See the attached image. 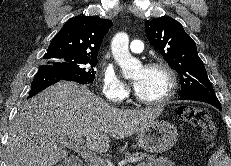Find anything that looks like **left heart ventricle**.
Returning a JSON list of instances; mask_svg holds the SVG:
<instances>
[{
	"instance_id": "left-heart-ventricle-1",
	"label": "left heart ventricle",
	"mask_w": 231,
	"mask_h": 166,
	"mask_svg": "<svg viewBox=\"0 0 231 166\" xmlns=\"http://www.w3.org/2000/svg\"><path fill=\"white\" fill-rule=\"evenodd\" d=\"M133 79L141 81L136 93L146 100H156L162 97L169 87V79L160 69L140 68L133 74Z\"/></svg>"
}]
</instances>
